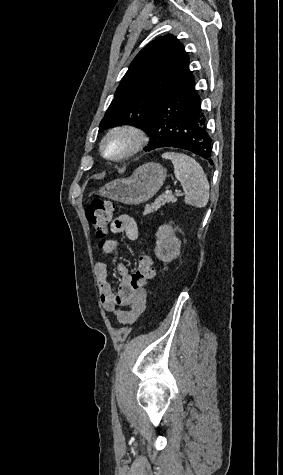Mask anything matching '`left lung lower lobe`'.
<instances>
[{
	"label": "left lung lower lobe",
	"mask_w": 283,
	"mask_h": 475,
	"mask_svg": "<svg viewBox=\"0 0 283 475\" xmlns=\"http://www.w3.org/2000/svg\"><path fill=\"white\" fill-rule=\"evenodd\" d=\"M191 74L172 88L156 105L144 125L151 142L145 151L174 147L191 151L212 162L209 135L201 100Z\"/></svg>",
	"instance_id": "0a47b994"
}]
</instances>
